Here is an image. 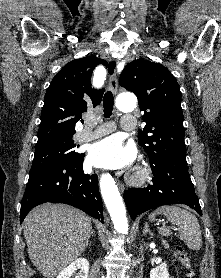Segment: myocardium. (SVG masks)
<instances>
[{"instance_id": "f54148a6", "label": "myocardium", "mask_w": 221, "mask_h": 278, "mask_svg": "<svg viewBox=\"0 0 221 278\" xmlns=\"http://www.w3.org/2000/svg\"><path fill=\"white\" fill-rule=\"evenodd\" d=\"M151 177V171L144 165L137 166L129 175L128 180L134 186L145 184Z\"/></svg>"}]
</instances>
